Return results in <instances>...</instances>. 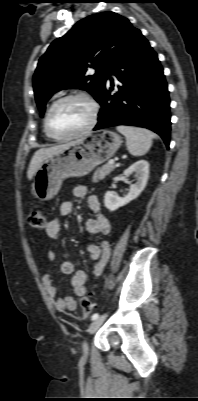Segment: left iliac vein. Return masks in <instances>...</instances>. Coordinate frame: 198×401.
<instances>
[{"mask_svg":"<svg viewBox=\"0 0 198 401\" xmlns=\"http://www.w3.org/2000/svg\"><path fill=\"white\" fill-rule=\"evenodd\" d=\"M106 315L100 316L97 319H95L89 326L88 328V333L92 334L94 333L105 321ZM88 351V345L86 342L83 343V352L86 354Z\"/></svg>","mask_w":198,"mask_h":401,"instance_id":"1","label":"left iliac vein"}]
</instances>
